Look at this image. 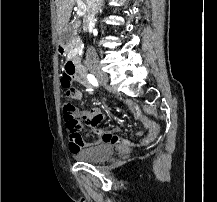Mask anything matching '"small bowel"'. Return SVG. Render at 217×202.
I'll list each match as a JSON object with an SVG mask.
<instances>
[{
	"mask_svg": "<svg viewBox=\"0 0 217 202\" xmlns=\"http://www.w3.org/2000/svg\"><path fill=\"white\" fill-rule=\"evenodd\" d=\"M66 66H69V64L67 63ZM60 90H71L67 96L73 100H80L83 96L82 92L76 88V85H60ZM128 108L143 125L142 130L137 134L138 140L135 142L120 138L117 135V128H114L112 131L108 132H103L96 129L105 118V113L102 106L97 105L84 110L75 109L74 116L78 119H81L89 127L93 128L98 135V139L95 142L89 143L88 146L92 144L109 143L118 144L119 148L122 150H129L135 147H144L152 143L159 133V125L151 118L140 115L138 107L133 102L128 103ZM81 140V131H69L68 141ZM70 147H86V142H70Z\"/></svg>",
	"mask_w": 217,
	"mask_h": 202,
	"instance_id": "obj_1",
	"label": "small bowel"
}]
</instances>
